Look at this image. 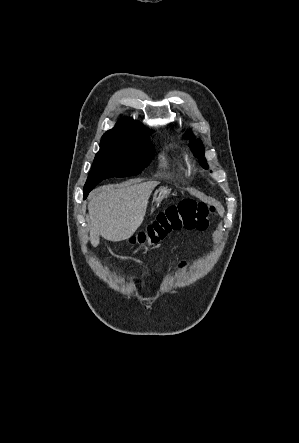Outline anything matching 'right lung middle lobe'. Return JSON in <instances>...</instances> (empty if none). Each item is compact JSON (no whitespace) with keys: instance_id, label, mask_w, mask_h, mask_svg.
<instances>
[{"instance_id":"obj_1","label":"right lung middle lobe","mask_w":299,"mask_h":443,"mask_svg":"<svg viewBox=\"0 0 299 443\" xmlns=\"http://www.w3.org/2000/svg\"><path fill=\"white\" fill-rule=\"evenodd\" d=\"M149 132L103 138L84 186V198L102 180L137 175L153 157Z\"/></svg>"}]
</instances>
